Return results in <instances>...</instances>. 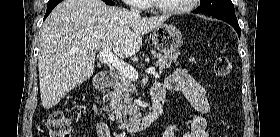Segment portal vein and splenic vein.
<instances>
[{
	"instance_id": "obj_1",
	"label": "portal vein and splenic vein",
	"mask_w": 280,
	"mask_h": 137,
	"mask_svg": "<svg viewBox=\"0 0 280 137\" xmlns=\"http://www.w3.org/2000/svg\"><path fill=\"white\" fill-rule=\"evenodd\" d=\"M99 56L106 62L110 63L121 74L128 77L129 79L131 80L138 79V72L134 69V67L121 60L119 57H117L108 49H101V51L99 52ZM146 73L156 74L155 67L148 68L146 70Z\"/></svg>"
}]
</instances>
